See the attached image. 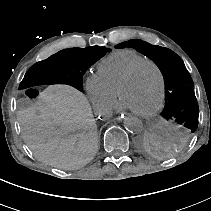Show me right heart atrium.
Masks as SVG:
<instances>
[{"label":"right heart atrium","instance_id":"obj_1","mask_svg":"<svg viewBox=\"0 0 211 211\" xmlns=\"http://www.w3.org/2000/svg\"><path fill=\"white\" fill-rule=\"evenodd\" d=\"M85 89L97 112L105 113L113 105L115 94L106 86L97 73L87 78Z\"/></svg>","mask_w":211,"mask_h":211}]
</instances>
